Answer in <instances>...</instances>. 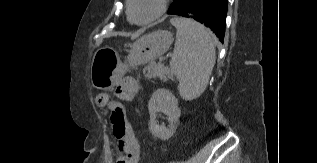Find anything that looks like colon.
Segmentation results:
<instances>
[{
    "label": "colon",
    "mask_w": 317,
    "mask_h": 163,
    "mask_svg": "<svg viewBox=\"0 0 317 163\" xmlns=\"http://www.w3.org/2000/svg\"><path fill=\"white\" fill-rule=\"evenodd\" d=\"M97 106L101 108L109 109V117L112 128L117 133H123L125 131L127 122L126 115L123 107L118 103H113L110 97L106 93H99L95 97Z\"/></svg>",
    "instance_id": "1"
}]
</instances>
